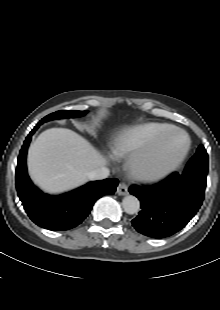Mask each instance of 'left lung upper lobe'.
Masks as SVG:
<instances>
[{"instance_id":"obj_1","label":"left lung upper lobe","mask_w":220,"mask_h":310,"mask_svg":"<svg viewBox=\"0 0 220 310\" xmlns=\"http://www.w3.org/2000/svg\"><path fill=\"white\" fill-rule=\"evenodd\" d=\"M184 173L205 174L208 173V154L203 145H200L195 155L190 159Z\"/></svg>"}]
</instances>
